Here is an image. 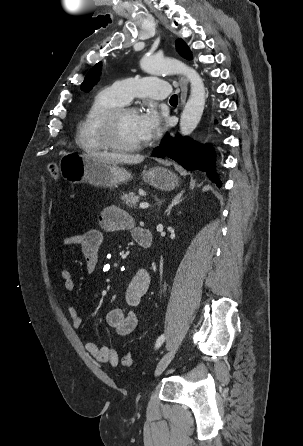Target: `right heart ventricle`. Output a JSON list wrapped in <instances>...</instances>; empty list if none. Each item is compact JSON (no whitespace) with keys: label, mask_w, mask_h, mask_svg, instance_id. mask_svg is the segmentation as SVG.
<instances>
[{"label":"right heart ventricle","mask_w":303,"mask_h":446,"mask_svg":"<svg viewBox=\"0 0 303 446\" xmlns=\"http://www.w3.org/2000/svg\"><path fill=\"white\" fill-rule=\"evenodd\" d=\"M124 104L125 102L113 87H108L98 92L77 127L76 144L86 151L107 149L98 131L100 120L108 110Z\"/></svg>","instance_id":"1"}]
</instances>
